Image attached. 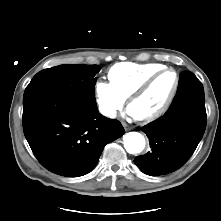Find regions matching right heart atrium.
Here are the masks:
<instances>
[{
    "label": "right heart atrium",
    "mask_w": 221,
    "mask_h": 221,
    "mask_svg": "<svg viewBox=\"0 0 221 221\" xmlns=\"http://www.w3.org/2000/svg\"><path fill=\"white\" fill-rule=\"evenodd\" d=\"M94 94L99 112L108 119L115 118L125 103V99L121 97L111 83L103 80L96 81Z\"/></svg>",
    "instance_id": "right-heart-atrium-1"
}]
</instances>
